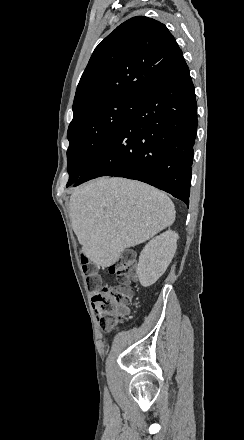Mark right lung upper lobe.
<instances>
[{"label": "right lung upper lobe", "mask_w": 244, "mask_h": 440, "mask_svg": "<svg viewBox=\"0 0 244 440\" xmlns=\"http://www.w3.org/2000/svg\"><path fill=\"white\" fill-rule=\"evenodd\" d=\"M167 27L137 16L119 25L94 50L78 84L73 108L117 96L142 97L184 63Z\"/></svg>", "instance_id": "right-lung-upper-lobe-1"}]
</instances>
